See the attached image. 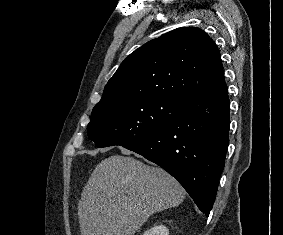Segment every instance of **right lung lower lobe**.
<instances>
[{"label":"right lung lower lobe","mask_w":283,"mask_h":235,"mask_svg":"<svg viewBox=\"0 0 283 235\" xmlns=\"http://www.w3.org/2000/svg\"><path fill=\"white\" fill-rule=\"evenodd\" d=\"M230 102L226 83L185 98L159 131L123 147L156 163L209 215L229 144Z\"/></svg>","instance_id":"right-lung-lower-lobe-1"}]
</instances>
